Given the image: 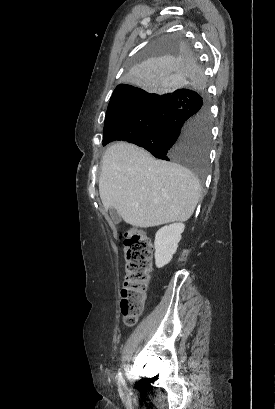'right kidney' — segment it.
I'll use <instances>...</instances> for the list:
<instances>
[{"mask_svg":"<svg viewBox=\"0 0 275 409\" xmlns=\"http://www.w3.org/2000/svg\"><path fill=\"white\" fill-rule=\"evenodd\" d=\"M185 225L183 223H174L166 225L156 233L155 237V265L158 269L165 267L170 263L174 253L177 251L178 243L181 241Z\"/></svg>","mask_w":275,"mask_h":409,"instance_id":"ca27d5eb","label":"right kidney"}]
</instances>
